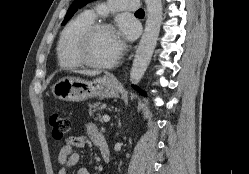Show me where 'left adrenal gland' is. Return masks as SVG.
I'll list each match as a JSON object with an SVG mask.
<instances>
[{
    "instance_id": "1",
    "label": "left adrenal gland",
    "mask_w": 249,
    "mask_h": 174,
    "mask_svg": "<svg viewBox=\"0 0 249 174\" xmlns=\"http://www.w3.org/2000/svg\"><path fill=\"white\" fill-rule=\"evenodd\" d=\"M118 125H119V127H121V122H120V120H119V123H118Z\"/></svg>"
}]
</instances>
